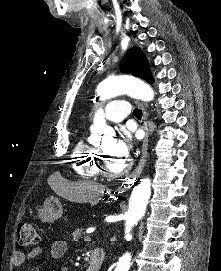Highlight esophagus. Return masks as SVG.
<instances>
[{"label":"esophagus","instance_id":"1","mask_svg":"<svg viewBox=\"0 0 221 271\" xmlns=\"http://www.w3.org/2000/svg\"><path fill=\"white\" fill-rule=\"evenodd\" d=\"M139 104V102H137ZM142 111H143V116H142V120L140 121V125L142 127V129L145 132V136L143 139V143H142V148H141V158L140 161L138 163V166L136 167V169L134 171H132V173L129 175L127 181L125 182V189L127 188V183L130 182V180L136 178L137 176H139L144 168L146 159H147V150H148V143H149V129H148V125H147V113L146 110L144 108V106H142Z\"/></svg>","mask_w":221,"mask_h":271}]
</instances>
